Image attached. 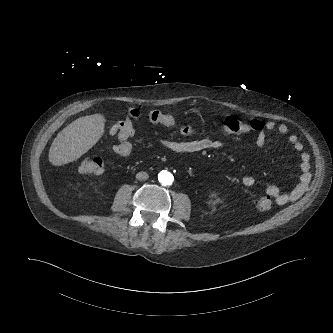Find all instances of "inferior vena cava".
<instances>
[{
	"mask_svg": "<svg viewBox=\"0 0 333 333\" xmlns=\"http://www.w3.org/2000/svg\"><path fill=\"white\" fill-rule=\"evenodd\" d=\"M148 177H149L148 174H147L146 172H143V171L138 172V173L136 174V179H137V180H140V181H142V180H147Z\"/></svg>",
	"mask_w": 333,
	"mask_h": 333,
	"instance_id": "inferior-vena-cava-1",
	"label": "inferior vena cava"
}]
</instances>
